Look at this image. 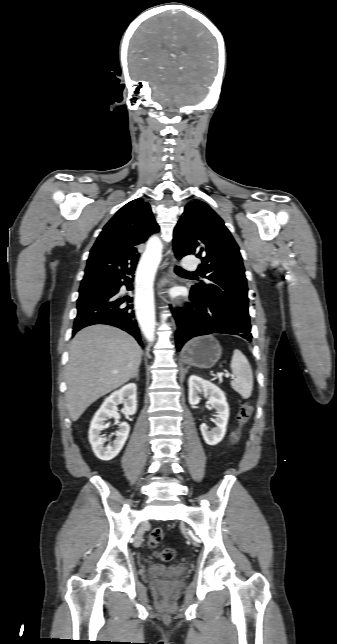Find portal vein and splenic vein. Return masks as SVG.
Wrapping results in <instances>:
<instances>
[{
	"label": "portal vein and splenic vein",
	"mask_w": 337,
	"mask_h": 644,
	"mask_svg": "<svg viewBox=\"0 0 337 644\" xmlns=\"http://www.w3.org/2000/svg\"><path fill=\"white\" fill-rule=\"evenodd\" d=\"M222 375H223V373H219V374H218V376H219V377H221ZM225 376H226V377H233V375H232V374H230V373H225Z\"/></svg>",
	"instance_id": "18ae733b"
}]
</instances>
